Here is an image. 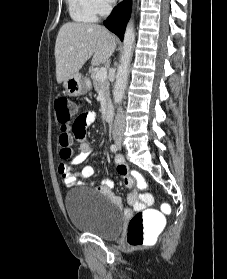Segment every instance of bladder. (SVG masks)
<instances>
[{
    "mask_svg": "<svg viewBox=\"0 0 227 279\" xmlns=\"http://www.w3.org/2000/svg\"><path fill=\"white\" fill-rule=\"evenodd\" d=\"M64 206L71 223L77 229L105 240H113L122 232V215L105 194L92 193L85 186L82 191L68 192Z\"/></svg>",
    "mask_w": 227,
    "mask_h": 279,
    "instance_id": "1",
    "label": "bladder"
}]
</instances>
